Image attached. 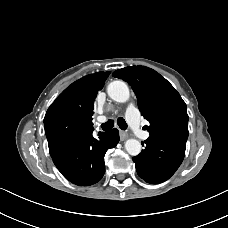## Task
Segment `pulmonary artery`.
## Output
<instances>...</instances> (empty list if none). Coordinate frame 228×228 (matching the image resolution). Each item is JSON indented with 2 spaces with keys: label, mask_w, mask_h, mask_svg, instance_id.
<instances>
[{
  "label": "pulmonary artery",
  "mask_w": 228,
  "mask_h": 228,
  "mask_svg": "<svg viewBox=\"0 0 228 228\" xmlns=\"http://www.w3.org/2000/svg\"><path fill=\"white\" fill-rule=\"evenodd\" d=\"M126 117L129 122L130 127L133 132L139 138L146 140L149 138L150 133L148 131L142 130L140 125V114L137 107L133 104H130L126 110Z\"/></svg>",
  "instance_id": "pulmonary-artery-1"
}]
</instances>
